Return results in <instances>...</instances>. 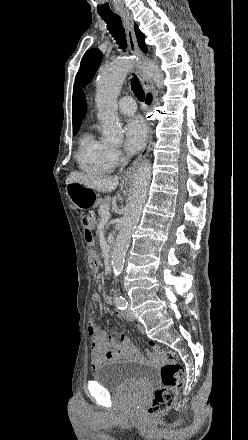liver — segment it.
<instances>
[{
	"mask_svg": "<svg viewBox=\"0 0 248 440\" xmlns=\"http://www.w3.org/2000/svg\"><path fill=\"white\" fill-rule=\"evenodd\" d=\"M70 183H79L93 190L107 193L113 191L118 186L119 179L118 177L72 172L66 179V185Z\"/></svg>",
	"mask_w": 248,
	"mask_h": 440,
	"instance_id": "liver-1",
	"label": "liver"
}]
</instances>
